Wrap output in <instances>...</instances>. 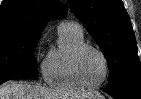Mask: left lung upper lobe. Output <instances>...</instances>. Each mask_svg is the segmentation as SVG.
<instances>
[{"mask_svg":"<svg viewBox=\"0 0 141 99\" xmlns=\"http://www.w3.org/2000/svg\"><path fill=\"white\" fill-rule=\"evenodd\" d=\"M108 62V89L141 88L135 35L121 0H68Z\"/></svg>","mask_w":141,"mask_h":99,"instance_id":"5c2ea615","label":"left lung upper lobe"}]
</instances>
